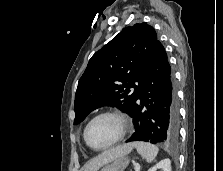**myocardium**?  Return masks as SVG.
I'll list each match as a JSON object with an SVG mask.
<instances>
[{"mask_svg": "<svg viewBox=\"0 0 223 171\" xmlns=\"http://www.w3.org/2000/svg\"><path fill=\"white\" fill-rule=\"evenodd\" d=\"M104 116H111V117L116 118L119 121V123H120L121 131H120L119 136L113 142H111L110 144H108L106 146H103V147H95L88 140V136H87L88 129H89L90 125L96 119H98L100 117H104ZM129 127H130V123H129V120H128V118H127V116L125 114H123L122 112H119V111L106 110V111H103V112H100V113L96 114L95 116H93L88 121V123L86 124V126L84 128L83 137H84V140H85L86 144L91 149H93L95 151H102V150H106V149L116 145L117 143H119L125 137V135L127 134L128 130H129Z\"/></svg>", "mask_w": 223, "mask_h": 171, "instance_id": "obj_1", "label": "myocardium"}]
</instances>
